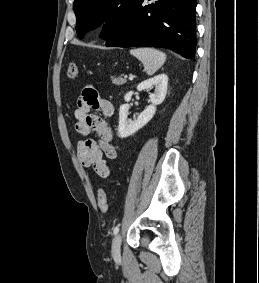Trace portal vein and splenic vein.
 Masks as SVG:
<instances>
[{
    "label": "portal vein and splenic vein",
    "mask_w": 259,
    "mask_h": 283,
    "mask_svg": "<svg viewBox=\"0 0 259 283\" xmlns=\"http://www.w3.org/2000/svg\"><path fill=\"white\" fill-rule=\"evenodd\" d=\"M129 80H133V76L132 75L129 76Z\"/></svg>",
    "instance_id": "obj_1"
}]
</instances>
